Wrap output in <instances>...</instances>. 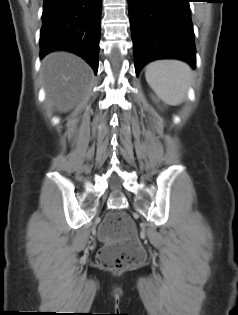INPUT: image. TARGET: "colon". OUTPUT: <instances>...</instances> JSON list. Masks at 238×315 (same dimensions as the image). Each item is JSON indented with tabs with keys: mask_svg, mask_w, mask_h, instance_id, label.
Returning a JSON list of instances; mask_svg holds the SVG:
<instances>
[{
	"mask_svg": "<svg viewBox=\"0 0 238 315\" xmlns=\"http://www.w3.org/2000/svg\"><path fill=\"white\" fill-rule=\"evenodd\" d=\"M99 236L106 243L97 257L103 267L122 270L144 262L145 251L126 213L113 211L107 214L100 225Z\"/></svg>",
	"mask_w": 238,
	"mask_h": 315,
	"instance_id": "1",
	"label": "colon"
}]
</instances>
